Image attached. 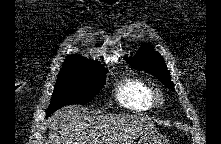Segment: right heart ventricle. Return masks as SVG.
Masks as SVG:
<instances>
[{
	"instance_id": "right-heart-ventricle-1",
	"label": "right heart ventricle",
	"mask_w": 221,
	"mask_h": 144,
	"mask_svg": "<svg viewBox=\"0 0 221 144\" xmlns=\"http://www.w3.org/2000/svg\"><path fill=\"white\" fill-rule=\"evenodd\" d=\"M153 90L143 79L127 76L116 88V99L124 107L135 111H147L153 106Z\"/></svg>"
}]
</instances>
